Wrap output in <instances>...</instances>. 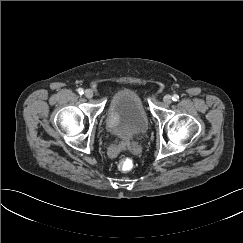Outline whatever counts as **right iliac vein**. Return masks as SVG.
<instances>
[{
    "label": "right iliac vein",
    "instance_id": "obj_1",
    "mask_svg": "<svg viewBox=\"0 0 243 243\" xmlns=\"http://www.w3.org/2000/svg\"><path fill=\"white\" fill-rule=\"evenodd\" d=\"M84 95L86 98L90 99L93 97V91L91 89H87L85 90Z\"/></svg>",
    "mask_w": 243,
    "mask_h": 243
}]
</instances>
